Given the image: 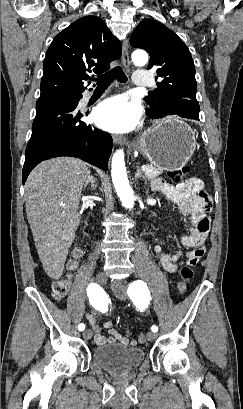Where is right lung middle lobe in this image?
<instances>
[{"label":"right lung middle lobe","mask_w":243,"mask_h":409,"mask_svg":"<svg viewBox=\"0 0 243 409\" xmlns=\"http://www.w3.org/2000/svg\"><path fill=\"white\" fill-rule=\"evenodd\" d=\"M77 96H72V97H65V98H59V99H73L76 98Z\"/></svg>","instance_id":"right-lung-middle-lobe-1"}]
</instances>
